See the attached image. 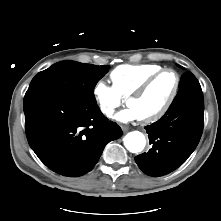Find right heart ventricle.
I'll return each instance as SVG.
<instances>
[{
  "label": "right heart ventricle",
  "mask_w": 221,
  "mask_h": 221,
  "mask_svg": "<svg viewBox=\"0 0 221 221\" xmlns=\"http://www.w3.org/2000/svg\"><path fill=\"white\" fill-rule=\"evenodd\" d=\"M162 69L155 64H125L110 73L113 87L121 97H127L137 89L149 76Z\"/></svg>",
  "instance_id": "obj_1"
}]
</instances>
